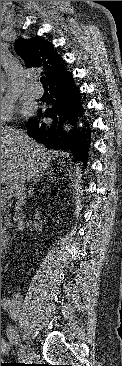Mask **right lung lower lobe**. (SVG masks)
<instances>
[{
  "mask_svg": "<svg viewBox=\"0 0 122 366\" xmlns=\"http://www.w3.org/2000/svg\"><path fill=\"white\" fill-rule=\"evenodd\" d=\"M51 98L43 113L45 122L36 120L27 123V134L44 143L47 148L71 152L77 160L86 163L90 144L89 128L80 131H65V125L82 113L81 93L74 83L72 74L60 83L49 85ZM88 126V125H87ZM86 127V126H85Z\"/></svg>",
  "mask_w": 122,
  "mask_h": 366,
  "instance_id": "right-lung-lower-lobe-1",
  "label": "right lung lower lobe"
}]
</instances>
